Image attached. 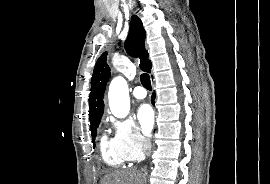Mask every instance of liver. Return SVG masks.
<instances>
[{
	"mask_svg": "<svg viewBox=\"0 0 270 184\" xmlns=\"http://www.w3.org/2000/svg\"><path fill=\"white\" fill-rule=\"evenodd\" d=\"M142 175L138 171H115L104 176L101 184H140Z\"/></svg>",
	"mask_w": 270,
	"mask_h": 184,
	"instance_id": "1",
	"label": "liver"
}]
</instances>
